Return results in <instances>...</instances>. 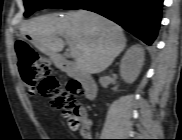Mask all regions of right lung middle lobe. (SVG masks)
I'll return each mask as SVG.
<instances>
[{
    "mask_svg": "<svg viewBox=\"0 0 182 140\" xmlns=\"http://www.w3.org/2000/svg\"><path fill=\"white\" fill-rule=\"evenodd\" d=\"M92 0H24L25 17L30 16L33 12L44 8H56L74 10L79 9Z\"/></svg>",
    "mask_w": 182,
    "mask_h": 140,
    "instance_id": "dd1d6c3e",
    "label": "right lung middle lobe"
}]
</instances>
